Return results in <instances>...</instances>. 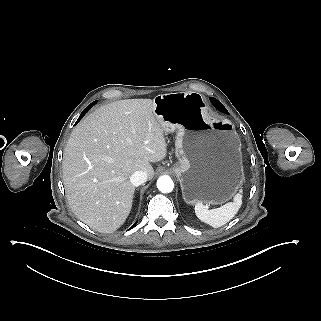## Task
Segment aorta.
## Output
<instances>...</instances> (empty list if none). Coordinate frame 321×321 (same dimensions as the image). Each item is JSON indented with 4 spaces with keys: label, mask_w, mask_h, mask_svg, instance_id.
Segmentation results:
<instances>
[{
    "label": "aorta",
    "mask_w": 321,
    "mask_h": 321,
    "mask_svg": "<svg viewBox=\"0 0 321 321\" xmlns=\"http://www.w3.org/2000/svg\"><path fill=\"white\" fill-rule=\"evenodd\" d=\"M157 188L163 193H169L173 190L174 183L169 176L164 175L157 180Z\"/></svg>",
    "instance_id": "1"
}]
</instances>
